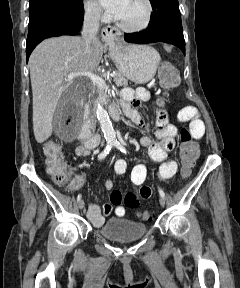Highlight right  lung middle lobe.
<instances>
[{"label": "right lung middle lobe", "mask_w": 240, "mask_h": 288, "mask_svg": "<svg viewBox=\"0 0 240 288\" xmlns=\"http://www.w3.org/2000/svg\"><path fill=\"white\" fill-rule=\"evenodd\" d=\"M29 24L40 16L55 10L80 11L83 0H29Z\"/></svg>", "instance_id": "1"}]
</instances>
